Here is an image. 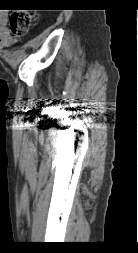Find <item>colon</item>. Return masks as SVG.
I'll use <instances>...</instances> for the list:
<instances>
[{"mask_svg":"<svg viewBox=\"0 0 138 253\" xmlns=\"http://www.w3.org/2000/svg\"><path fill=\"white\" fill-rule=\"evenodd\" d=\"M30 15L26 12H16L10 17V30L12 37L18 38L23 36L30 28Z\"/></svg>","mask_w":138,"mask_h":253,"instance_id":"colon-1","label":"colon"}]
</instances>
